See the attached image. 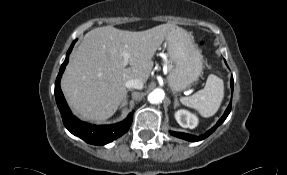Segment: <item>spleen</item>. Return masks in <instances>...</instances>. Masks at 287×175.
Instances as JSON below:
<instances>
[{
  "label": "spleen",
  "instance_id": "obj_1",
  "mask_svg": "<svg viewBox=\"0 0 287 175\" xmlns=\"http://www.w3.org/2000/svg\"><path fill=\"white\" fill-rule=\"evenodd\" d=\"M224 97L223 80L210 74L202 90L189 97H182L181 102L187 107L197 110L203 117L213 116L220 108Z\"/></svg>",
  "mask_w": 287,
  "mask_h": 175
}]
</instances>
